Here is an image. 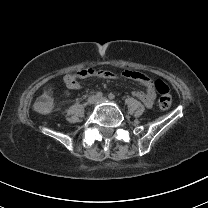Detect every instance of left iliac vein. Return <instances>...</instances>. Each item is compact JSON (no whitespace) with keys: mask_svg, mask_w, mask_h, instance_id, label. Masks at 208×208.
<instances>
[{"mask_svg":"<svg viewBox=\"0 0 208 208\" xmlns=\"http://www.w3.org/2000/svg\"><path fill=\"white\" fill-rule=\"evenodd\" d=\"M98 101H99V102H107L108 100H107V98L102 97V98H99Z\"/></svg>","mask_w":208,"mask_h":208,"instance_id":"obj_1","label":"left iliac vein"}]
</instances>
